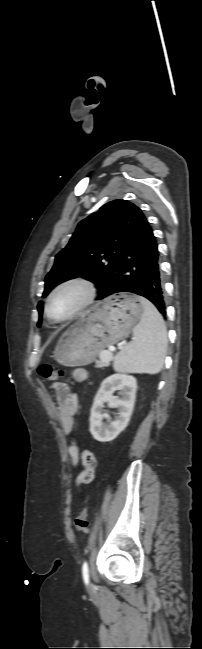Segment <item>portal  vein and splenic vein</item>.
<instances>
[{
    "label": "portal vein and splenic vein",
    "mask_w": 202,
    "mask_h": 649,
    "mask_svg": "<svg viewBox=\"0 0 202 649\" xmlns=\"http://www.w3.org/2000/svg\"><path fill=\"white\" fill-rule=\"evenodd\" d=\"M112 355L108 354L107 352H102L100 355V359L105 362H110L112 360Z\"/></svg>",
    "instance_id": "obj_1"
}]
</instances>
